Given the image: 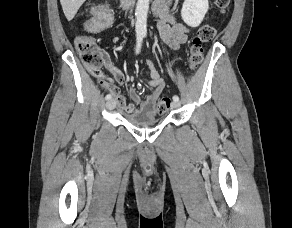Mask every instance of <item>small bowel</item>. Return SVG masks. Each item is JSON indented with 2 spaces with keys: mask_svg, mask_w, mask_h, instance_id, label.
I'll return each instance as SVG.
<instances>
[{
  "mask_svg": "<svg viewBox=\"0 0 292 228\" xmlns=\"http://www.w3.org/2000/svg\"><path fill=\"white\" fill-rule=\"evenodd\" d=\"M155 11L159 18L157 26L162 41L172 49H178L182 44L186 43L189 28L178 21L164 5H156ZM104 64L118 84L126 82L124 74L116 67L110 56L105 55ZM147 64L150 74L149 86L152 91L143 98L135 88L131 87L129 89V96L134 103H128L125 97L120 94L119 88L111 81L104 79L100 81L104 88L116 96L115 102L117 107L128 114L155 115L158 111L156 102L165 84L154 63L148 60Z\"/></svg>",
  "mask_w": 292,
  "mask_h": 228,
  "instance_id": "1",
  "label": "small bowel"
}]
</instances>
